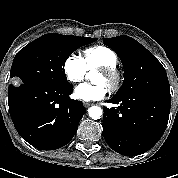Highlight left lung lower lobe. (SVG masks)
<instances>
[{"label":"left lung lower lobe","mask_w":178,"mask_h":178,"mask_svg":"<svg viewBox=\"0 0 178 178\" xmlns=\"http://www.w3.org/2000/svg\"><path fill=\"white\" fill-rule=\"evenodd\" d=\"M117 109L104 108L103 133L107 144L126 156L140 155L162 137L169 119L171 98L137 92L112 97Z\"/></svg>","instance_id":"1"}]
</instances>
